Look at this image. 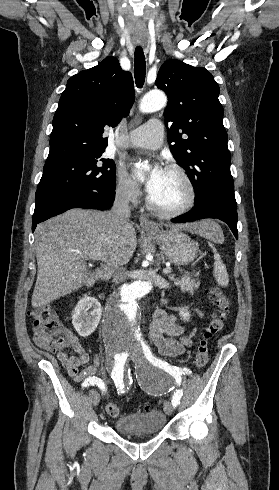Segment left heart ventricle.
I'll list each match as a JSON object with an SVG mask.
<instances>
[{
    "label": "left heart ventricle",
    "mask_w": 279,
    "mask_h": 490,
    "mask_svg": "<svg viewBox=\"0 0 279 490\" xmlns=\"http://www.w3.org/2000/svg\"><path fill=\"white\" fill-rule=\"evenodd\" d=\"M186 197L187 190L184 182L176 174L165 171L159 193L152 200L162 207L172 209L179 206Z\"/></svg>",
    "instance_id": "obj_1"
}]
</instances>
